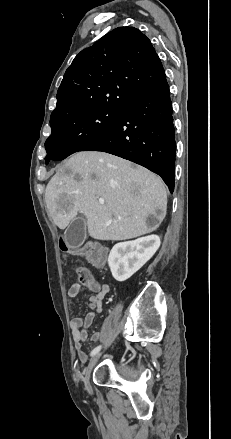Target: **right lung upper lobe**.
Returning a JSON list of instances; mask_svg holds the SVG:
<instances>
[{"mask_svg": "<svg viewBox=\"0 0 231 439\" xmlns=\"http://www.w3.org/2000/svg\"><path fill=\"white\" fill-rule=\"evenodd\" d=\"M166 84L150 40L134 27H118L75 57L50 120L91 108L123 111L137 97Z\"/></svg>", "mask_w": 231, "mask_h": 439, "instance_id": "right-lung-upper-lobe-1", "label": "right lung upper lobe"}]
</instances>
